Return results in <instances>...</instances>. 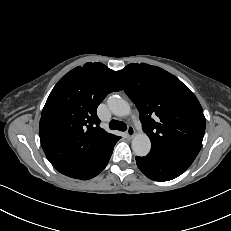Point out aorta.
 Returning a JSON list of instances; mask_svg holds the SVG:
<instances>
[{
	"label": "aorta",
	"instance_id": "aorta-1",
	"mask_svg": "<svg viewBox=\"0 0 231 231\" xmlns=\"http://www.w3.org/2000/svg\"><path fill=\"white\" fill-rule=\"evenodd\" d=\"M107 104L111 112L118 117H124L131 113L130 105L120 96H110ZM150 149L151 141L145 133H139L134 136L132 140V150L135 155L140 157L146 156L150 152Z\"/></svg>",
	"mask_w": 231,
	"mask_h": 231
}]
</instances>
